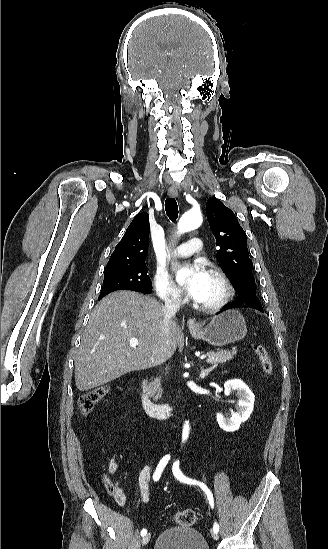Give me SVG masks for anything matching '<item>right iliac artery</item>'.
<instances>
[{"instance_id": "1", "label": "right iliac artery", "mask_w": 328, "mask_h": 549, "mask_svg": "<svg viewBox=\"0 0 328 549\" xmlns=\"http://www.w3.org/2000/svg\"><path fill=\"white\" fill-rule=\"evenodd\" d=\"M169 459H170V455H166V456H164V457L161 459V461L159 462V464H158V466H157V468H156V471H155V473H154V475H153L154 481H158V480H159V478H160V476H161V473H162L163 469L165 468V466L167 465ZM146 533H147V530H146V529H143V530L141 531V536L146 535Z\"/></svg>"}]
</instances>
